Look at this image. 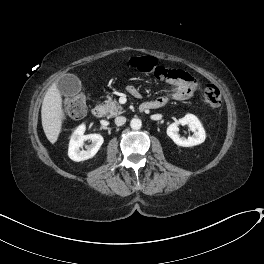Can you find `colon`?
<instances>
[{
	"mask_svg": "<svg viewBox=\"0 0 264 264\" xmlns=\"http://www.w3.org/2000/svg\"><path fill=\"white\" fill-rule=\"evenodd\" d=\"M130 67L146 73L152 74L158 79L170 78L173 71L161 65L152 57H134L130 60ZM204 103L219 108L222 105V95L219 89L212 83L207 82L203 86ZM86 110V95L84 92L68 100L64 105V112L68 118L80 119Z\"/></svg>",
	"mask_w": 264,
	"mask_h": 264,
	"instance_id": "obj_1",
	"label": "colon"
}]
</instances>
